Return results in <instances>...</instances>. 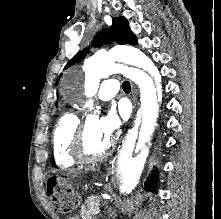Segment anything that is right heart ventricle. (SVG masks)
Listing matches in <instances>:
<instances>
[{"label": "right heart ventricle", "instance_id": "1", "mask_svg": "<svg viewBox=\"0 0 221 219\" xmlns=\"http://www.w3.org/2000/svg\"><path fill=\"white\" fill-rule=\"evenodd\" d=\"M80 122L77 113L65 112L54 127L52 151L55 163L60 168H69L77 163L71 156V145Z\"/></svg>", "mask_w": 221, "mask_h": 219}]
</instances>
